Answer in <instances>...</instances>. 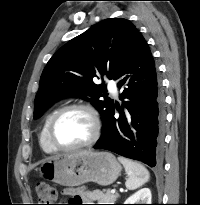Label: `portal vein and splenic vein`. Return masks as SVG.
Segmentation results:
<instances>
[{
    "instance_id": "obj_1",
    "label": "portal vein and splenic vein",
    "mask_w": 200,
    "mask_h": 205,
    "mask_svg": "<svg viewBox=\"0 0 200 205\" xmlns=\"http://www.w3.org/2000/svg\"><path fill=\"white\" fill-rule=\"evenodd\" d=\"M115 192H116V189H112V190H111V193H115Z\"/></svg>"
}]
</instances>
